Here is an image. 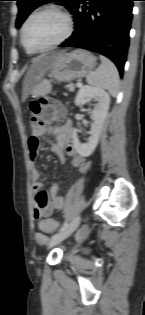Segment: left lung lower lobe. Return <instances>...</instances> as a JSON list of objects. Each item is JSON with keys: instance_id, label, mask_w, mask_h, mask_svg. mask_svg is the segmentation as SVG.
Masks as SVG:
<instances>
[{"instance_id": "1", "label": "left lung lower lobe", "mask_w": 145, "mask_h": 315, "mask_svg": "<svg viewBox=\"0 0 145 315\" xmlns=\"http://www.w3.org/2000/svg\"><path fill=\"white\" fill-rule=\"evenodd\" d=\"M88 1V2H86ZM134 0H78L75 31L60 47H80L111 59L123 74Z\"/></svg>"}]
</instances>
